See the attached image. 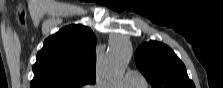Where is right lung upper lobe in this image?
Segmentation results:
<instances>
[{"label":"right lung upper lobe","instance_id":"right-lung-upper-lobe-1","mask_svg":"<svg viewBox=\"0 0 223 88\" xmlns=\"http://www.w3.org/2000/svg\"><path fill=\"white\" fill-rule=\"evenodd\" d=\"M96 37L70 25L48 37L33 66L31 88H86L95 84Z\"/></svg>","mask_w":223,"mask_h":88}]
</instances>
